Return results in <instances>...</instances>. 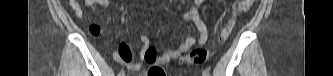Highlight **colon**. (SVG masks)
<instances>
[{"mask_svg": "<svg viewBox=\"0 0 333 76\" xmlns=\"http://www.w3.org/2000/svg\"><path fill=\"white\" fill-rule=\"evenodd\" d=\"M253 0H240L235 2V8L237 12L247 11L253 4ZM231 33V27L228 25L226 26L220 34V39L225 40ZM208 52L206 49L198 48L194 50L189 58L188 61L193 64H202L207 60Z\"/></svg>", "mask_w": 333, "mask_h": 76, "instance_id": "5ec220e1", "label": "colon"}]
</instances>
